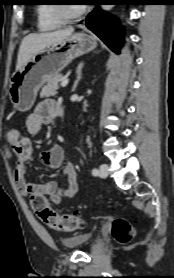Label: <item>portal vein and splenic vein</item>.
Listing matches in <instances>:
<instances>
[{
    "label": "portal vein and splenic vein",
    "mask_w": 174,
    "mask_h": 278,
    "mask_svg": "<svg viewBox=\"0 0 174 278\" xmlns=\"http://www.w3.org/2000/svg\"><path fill=\"white\" fill-rule=\"evenodd\" d=\"M68 82H69V79H63L62 81H61V86L62 87H66L67 85H68Z\"/></svg>",
    "instance_id": "18ae733b"
}]
</instances>
